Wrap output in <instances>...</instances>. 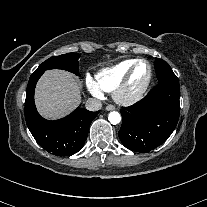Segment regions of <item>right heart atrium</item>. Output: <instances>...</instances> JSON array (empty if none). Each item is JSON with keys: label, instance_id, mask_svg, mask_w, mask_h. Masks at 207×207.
I'll return each mask as SVG.
<instances>
[{"label": "right heart atrium", "instance_id": "1", "mask_svg": "<svg viewBox=\"0 0 207 207\" xmlns=\"http://www.w3.org/2000/svg\"><path fill=\"white\" fill-rule=\"evenodd\" d=\"M87 85L89 87V89L97 96H100L101 95V91L100 89L94 84L92 83L91 81H87Z\"/></svg>", "mask_w": 207, "mask_h": 207}]
</instances>
